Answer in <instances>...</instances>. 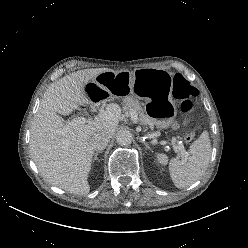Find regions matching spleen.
<instances>
[{"label":"spleen","mask_w":248,"mask_h":248,"mask_svg":"<svg viewBox=\"0 0 248 248\" xmlns=\"http://www.w3.org/2000/svg\"><path fill=\"white\" fill-rule=\"evenodd\" d=\"M211 152L209 134L203 131L200 137L191 144L185 156H177L170 160L169 173L174 185L183 189L199 180L209 165ZM156 157L161 165L168 164L167 155L157 154Z\"/></svg>","instance_id":"3e777b00"}]
</instances>
